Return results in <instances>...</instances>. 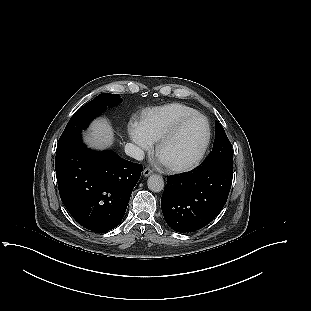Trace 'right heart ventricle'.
Instances as JSON below:
<instances>
[{"mask_svg":"<svg viewBox=\"0 0 311 311\" xmlns=\"http://www.w3.org/2000/svg\"><path fill=\"white\" fill-rule=\"evenodd\" d=\"M197 112L194 108L181 103H171L147 109L141 121L147 137L156 142L184 116Z\"/></svg>","mask_w":311,"mask_h":311,"instance_id":"right-heart-ventricle-1","label":"right heart ventricle"}]
</instances>
